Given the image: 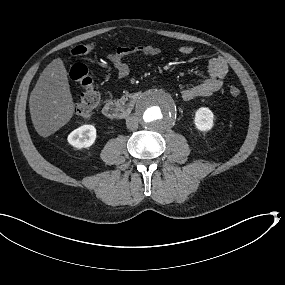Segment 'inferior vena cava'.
Segmentation results:
<instances>
[{
	"instance_id": "inferior-vena-cava-1",
	"label": "inferior vena cava",
	"mask_w": 285,
	"mask_h": 285,
	"mask_svg": "<svg viewBox=\"0 0 285 285\" xmlns=\"http://www.w3.org/2000/svg\"><path fill=\"white\" fill-rule=\"evenodd\" d=\"M126 125L129 130L138 129V117L136 115H130L126 119Z\"/></svg>"
}]
</instances>
